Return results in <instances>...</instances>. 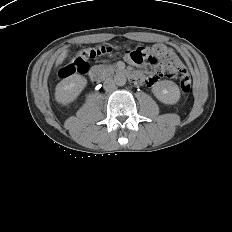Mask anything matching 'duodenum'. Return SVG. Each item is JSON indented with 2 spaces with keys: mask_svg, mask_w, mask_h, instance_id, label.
I'll use <instances>...</instances> for the list:
<instances>
[{
  "mask_svg": "<svg viewBox=\"0 0 232 232\" xmlns=\"http://www.w3.org/2000/svg\"><path fill=\"white\" fill-rule=\"evenodd\" d=\"M118 73L120 75H127L132 81H137L138 80V77L137 75L135 74H130V73H127L125 70L123 69H120L118 71ZM89 77L90 79L94 82V83H100L102 81V77H103V73H102V70L101 68L99 67H93L89 73Z\"/></svg>",
  "mask_w": 232,
  "mask_h": 232,
  "instance_id": "410a0bca",
  "label": "duodenum"
}]
</instances>
